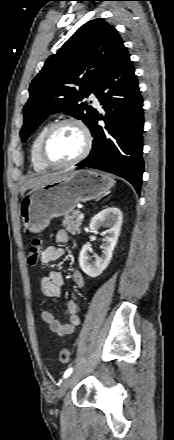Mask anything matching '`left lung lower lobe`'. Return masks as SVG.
Instances as JSON below:
<instances>
[{
	"label": "left lung lower lobe",
	"mask_w": 174,
	"mask_h": 440,
	"mask_svg": "<svg viewBox=\"0 0 174 440\" xmlns=\"http://www.w3.org/2000/svg\"><path fill=\"white\" fill-rule=\"evenodd\" d=\"M126 48L105 74L96 94L106 112L95 110L88 124L93 147L77 166L113 173L128 180L140 193L143 162V99ZM103 120L104 126L98 125Z\"/></svg>",
	"instance_id": "0a47b994"
}]
</instances>
